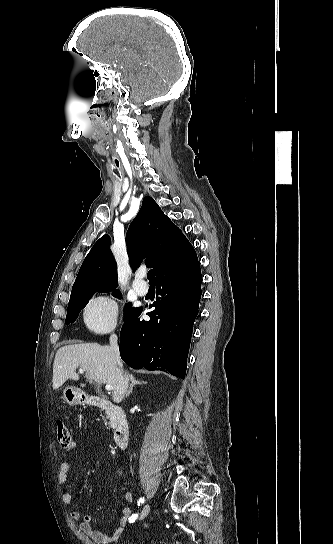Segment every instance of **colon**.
<instances>
[{"label":"colon","instance_id":"5ec220e1","mask_svg":"<svg viewBox=\"0 0 333 544\" xmlns=\"http://www.w3.org/2000/svg\"><path fill=\"white\" fill-rule=\"evenodd\" d=\"M57 439L59 445L67 450H71L75 447L73 436L63 421H57Z\"/></svg>","mask_w":333,"mask_h":544}]
</instances>
